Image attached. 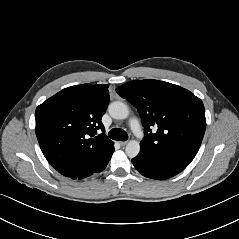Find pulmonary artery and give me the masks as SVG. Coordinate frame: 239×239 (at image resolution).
Here are the masks:
<instances>
[{"mask_svg":"<svg viewBox=\"0 0 239 239\" xmlns=\"http://www.w3.org/2000/svg\"><path fill=\"white\" fill-rule=\"evenodd\" d=\"M130 127L137 137H142L141 126L137 119H133L130 121Z\"/></svg>","mask_w":239,"mask_h":239,"instance_id":"pulmonary-artery-1","label":"pulmonary artery"}]
</instances>
